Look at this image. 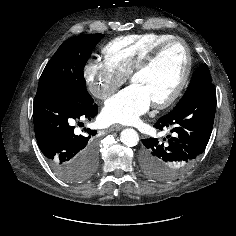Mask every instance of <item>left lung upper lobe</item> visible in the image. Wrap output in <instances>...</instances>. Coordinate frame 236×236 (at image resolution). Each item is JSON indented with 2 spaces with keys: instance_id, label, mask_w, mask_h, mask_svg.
<instances>
[{
  "instance_id": "obj_1",
  "label": "left lung upper lobe",
  "mask_w": 236,
  "mask_h": 236,
  "mask_svg": "<svg viewBox=\"0 0 236 236\" xmlns=\"http://www.w3.org/2000/svg\"><path fill=\"white\" fill-rule=\"evenodd\" d=\"M212 79L209 72V69L206 64H202L192 76L191 82L187 91L185 92L182 99L178 102L175 108L179 107L184 101H186L191 95H193L196 91L201 89L202 87L211 84ZM174 108V109H175Z\"/></svg>"
}]
</instances>
